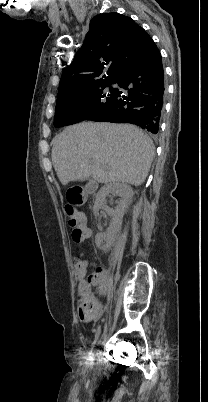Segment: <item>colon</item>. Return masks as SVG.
<instances>
[{
    "instance_id": "1",
    "label": "colon",
    "mask_w": 208,
    "mask_h": 402,
    "mask_svg": "<svg viewBox=\"0 0 208 402\" xmlns=\"http://www.w3.org/2000/svg\"><path fill=\"white\" fill-rule=\"evenodd\" d=\"M65 213L67 223L71 228L70 237L72 241L80 242L83 238H87L88 230L84 229L82 214L70 204L66 205ZM72 258L75 262L83 261V255L81 253L73 254ZM96 285V277H85L84 282L79 283V289L76 297L79 301V313L83 319L89 317L91 314L102 313L101 299H94V295L97 293Z\"/></svg>"
}]
</instances>
